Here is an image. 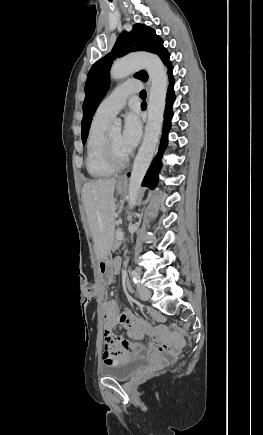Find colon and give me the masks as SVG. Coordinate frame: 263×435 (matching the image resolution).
Returning <instances> with one entry per match:
<instances>
[{
  "instance_id": "colon-1",
  "label": "colon",
  "mask_w": 263,
  "mask_h": 435,
  "mask_svg": "<svg viewBox=\"0 0 263 435\" xmlns=\"http://www.w3.org/2000/svg\"><path fill=\"white\" fill-rule=\"evenodd\" d=\"M96 290L102 295L105 296V293L103 290L96 288ZM106 304V303H105ZM105 306V305H104ZM167 329H172L174 332H179L180 335H186L187 331L184 327H180L178 324H167L165 326ZM102 343H101V348L102 350H111L112 345L114 343V331L111 328H108L107 330H105V332H103L102 334Z\"/></svg>"
}]
</instances>
